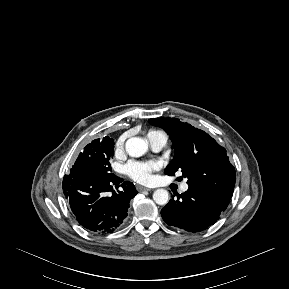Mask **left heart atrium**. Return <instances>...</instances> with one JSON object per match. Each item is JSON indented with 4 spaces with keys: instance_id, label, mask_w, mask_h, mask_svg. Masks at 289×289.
<instances>
[{
    "instance_id": "1",
    "label": "left heart atrium",
    "mask_w": 289,
    "mask_h": 289,
    "mask_svg": "<svg viewBox=\"0 0 289 289\" xmlns=\"http://www.w3.org/2000/svg\"><path fill=\"white\" fill-rule=\"evenodd\" d=\"M157 166L150 162H131L126 168L127 174L135 181L148 183L151 181L152 172Z\"/></svg>"
}]
</instances>
